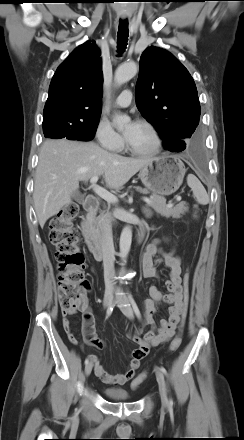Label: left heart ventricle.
Masks as SVG:
<instances>
[{
    "label": "left heart ventricle",
    "instance_id": "obj_1",
    "mask_svg": "<svg viewBox=\"0 0 244 440\" xmlns=\"http://www.w3.org/2000/svg\"><path fill=\"white\" fill-rule=\"evenodd\" d=\"M127 131L128 128L125 130V135H127ZM126 138L128 142L138 150H150L154 145V140L150 132L139 124L137 125L134 133Z\"/></svg>",
    "mask_w": 244,
    "mask_h": 440
}]
</instances>
